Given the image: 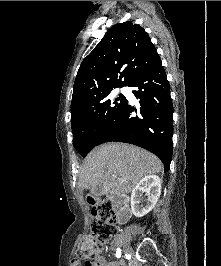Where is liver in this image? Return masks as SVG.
Masks as SVG:
<instances>
[{
  "instance_id": "liver-1",
  "label": "liver",
  "mask_w": 221,
  "mask_h": 266,
  "mask_svg": "<svg viewBox=\"0 0 221 266\" xmlns=\"http://www.w3.org/2000/svg\"><path fill=\"white\" fill-rule=\"evenodd\" d=\"M161 169V161L152 153L134 145L111 142L89 153L80 169L78 187L82 192L102 184L105 192L127 194L144 176Z\"/></svg>"
}]
</instances>
